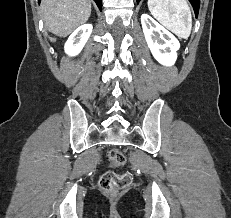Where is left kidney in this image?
<instances>
[{
  "instance_id": "obj_1",
  "label": "left kidney",
  "mask_w": 231,
  "mask_h": 218,
  "mask_svg": "<svg viewBox=\"0 0 231 218\" xmlns=\"http://www.w3.org/2000/svg\"><path fill=\"white\" fill-rule=\"evenodd\" d=\"M141 24L154 58L164 66L174 65L180 48L178 39L148 14H142Z\"/></svg>"
}]
</instances>
